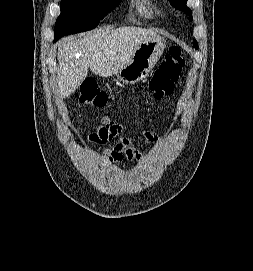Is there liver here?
Returning a JSON list of instances; mask_svg holds the SVG:
<instances>
[{
  "mask_svg": "<svg viewBox=\"0 0 253 271\" xmlns=\"http://www.w3.org/2000/svg\"><path fill=\"white\" fill-rule=\"evenodd\" d=\"M161 38L139 27L95 30L69 36L58 44L57 84L59 98L72 94L86 79L88 69L102 77L115 75L130 61L138 46L148 39Z\"/></svg>",
  "mask_w": 253,
  "mask_h": 271,
  "instance_id": "1",
  "label": "liver"
}]
</instances>
